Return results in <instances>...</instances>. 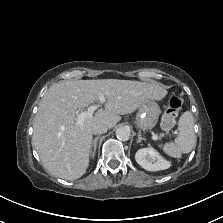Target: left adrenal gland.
Listing matches in <instances>:
<instances>
[{"label":"left adrenal gland","instance_id":"1","mask_svg":"<svg viewBox=\"0 0 223 223\" xmlns=\"http://www.w3.org/2000/svg\"><path fill=\"white\" fill-rule=\"evenodd\" d=\"M142 140H146L145 138H143L142 136H141V133L139 132L138 133V140H137V143H140Z\"/></svg>","mask_w":223,"mask_h":223}]
</instances>
